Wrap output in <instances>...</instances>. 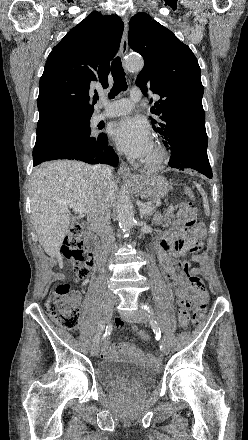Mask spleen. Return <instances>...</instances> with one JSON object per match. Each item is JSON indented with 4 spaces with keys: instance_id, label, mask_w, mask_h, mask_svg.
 Segmentation results:
<instances>
[{
    "instance_id": "3e777b00",
    "label": "spleen",
    "mask_w": 248,
    "mask_h": 440,
    "mask_svg": "<svg viewBox=\"0 0 248 440\" xmlns=\"http://www.w3.org/2000/svg\"><path fill=\"white\" fill-rule=\"evenodd\" d=\"M195 184H196V187H197L198 191H199V192L201 193V195H202V200H203V205H204V211H205V214H206L207 216H209V214H210V209H209V202H208L207 195H206L205 191L203 190V188H202L199 184H197V183H195Z\"/></svg>"
}]
</instances>
